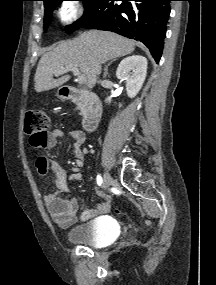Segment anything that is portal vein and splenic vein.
<instances>
[{
    "instance_id": "obj_1",
    "label": "portal vein and splenic vein",
    "mask_w": 216,
    "mask_h": 285,
    "mask_svg": "<svg viewBox=\"0 0 216 285\" xmlns=\"http://www.w3.org/2000/svg\"><path fill=\"white\" fill-rule=\"evenodd\" d=\"M67 71H72L73 74L75 76H77V82L79 84H84L86 83V76L84 74H81L79 69L76 68V67H73V68H67V69H61L59 70L55 75L58 76V75H61L63 73H66Z\"/></svg>"
}]
</instances>
